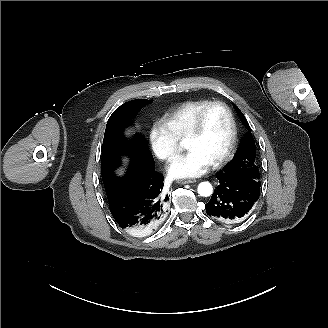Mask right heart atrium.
<instances>
[{
  "label": "right heart atrium",
  "instance_id": "right-heart-atrium-1",
  "mask_svg": "<svg viewBox=\"0 0 328 328\" xmlns=\"http://www.w3.org/2000/svg\"><path fill=\"white\" fill-rule=\"evenodd\" d=\"M148 139L152 152L162 161H170L179 152L178 142L160 121L150 125Z\"/></svg>",
  "mask_w": 328,
  "mask_h": 328
}]
</instances>
